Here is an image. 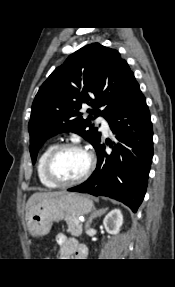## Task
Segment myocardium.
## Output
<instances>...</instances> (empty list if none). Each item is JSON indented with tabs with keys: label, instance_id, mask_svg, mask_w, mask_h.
<instances>
[{
	"label": "myocardium",
	"instance_id": "obj_1",
	"mask_svg": "<svg viewBox=\"0 0 175 287\" xmlns=\"http://www.w3.org/2000/svg\"><path fill=\"white\" fill-rule=\"evenodd\" d=\"M69 148H73V149H79L84 151L89 158V164L87 169L85 170V172L78 178L74 179V180H70V181H64V180H60L59 178H57L53 172V162L56 158V156L63 150L65 149H69ZM96 166V158L95 155L93 154V152L88 149L87 147L76 143V142H64L61 144L56 145L51 152L49 153V155L46 158L45 161V165H44V173L46 178L51 181L53 184H55L57 187H68V186H73V185H77L80 184L82 182H84L94 171Z\"/></svg>",
	"mask_w": 175,
	"mask_h": 287
}]
</instances>
